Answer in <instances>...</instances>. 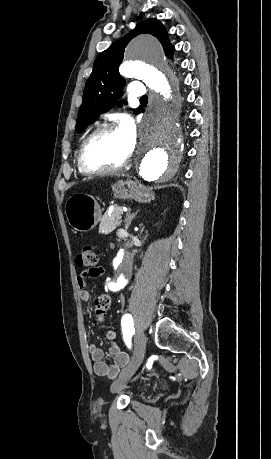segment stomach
Returning a JSON list of instances; mask_svg holds the SVG:
<instances>
[{"label": "stomach", "mask_w": 271, "mask_h": 459, "mask_svg": "<svg viewBox=\"0 0 271 459\" xmlns=\"http://www.w3.org/2000/svg\"><path fill=\"white\" fill-rule=\"evenodd\" d=\"M115 198L121 200H136V202H150L154 194L151 188L139 184L137 180H117L112 184ZM65 214L69 226L76 231H90L101 220V210L94 198L88 194H75L71 196L65 206Z\"/></svg>", "instance_id": "0dacf381"}]
</instances>
